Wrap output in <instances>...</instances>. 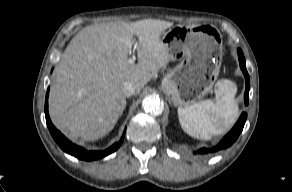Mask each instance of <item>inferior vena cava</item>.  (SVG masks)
<instances>
[{"label":"inferior vena cava","mask_w":292,"mask_h":192,"mask_svg":"<svg viewBox=\"0 0 292 192\" xmlns=\"http://www.w3.org/2000/svg\"><path fill=\"white\" fill-rule=\"evenodd\" d=\"M122 89L127 97L136 93V86L130 81L125 82Z\"/></svg>","instance_id":"inferior-vena-cava-1"}]
</instances>
